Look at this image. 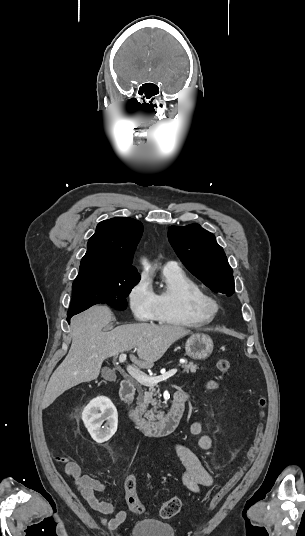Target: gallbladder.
Returning <instances> with one entry per match:
<instances>
[{"mask_svg": "<svg viewBox=\"0 0 305 536\" xmlns=\"http://www.w3.org/2000/svg\"><path fill=\"white\" fill-rule=\"evenodd\" d=\"M102 378H105V380H114L115 374L113 370H110V368H102Z\"/></svg>", "mask_w": 305, "mask_h": 536, "instance_id": "bac80fb5", "label": "gallbladder"}]
</instances>
